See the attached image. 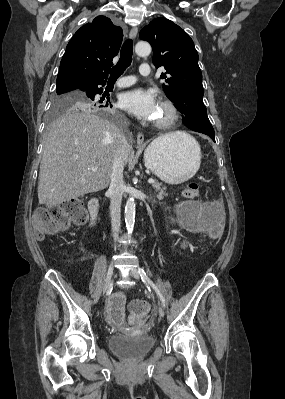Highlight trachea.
<instances>
[{"label":"trachea","mask_w":285,"mask_h":399,"mask_svg":"<svg viewBox=\"0 0 285 399\" xmlns=\"http://www.w3.org/2000/svg\"><path fill=\"white\" fill-rule=\"evenodd\" d=\"M132 55L133 42L131 39H127L122 45L119 62L110 70L109 80H117L123 74L125 69L130 66L132 62Z\"/></svg>","instance_id":"1"}]
</instances>
